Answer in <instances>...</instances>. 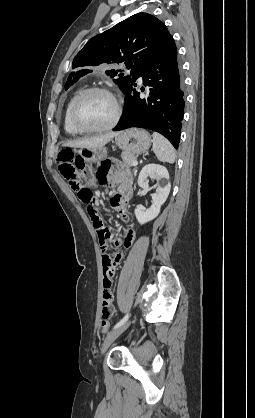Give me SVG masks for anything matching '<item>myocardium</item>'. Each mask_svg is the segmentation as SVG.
Here are the masks:
<instances>
[{"mask_svg":"<svg viewBox=\"0 0 255 418\" xmlns=\"http://www.w3.org/2000/svg\"><path fill=\"white\" fill-rule=\"evenodd\" d=\"M92 93H103L109 96L114 102L115 112H114L113 118L108 124L101 126V127H85V126H82L77 120V113H78V109H79L81 102L84 100V98H86L88 95ZM121 112H122V108H121V104L119 100L109 89L105 87L94 86V87H89V88L84 89L75 98L72 104L71 110H70L69 120L73 128L79 131L80 133H102V132H106V131L113 129L117 125L121 117Z\"/></svg>","mask_w":255,"mask_h":418,"instance_id":"1","label":"myocardium"}]
</instances>
